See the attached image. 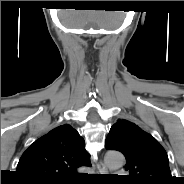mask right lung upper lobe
<instances>
[{
    "mask_svg": "<svg viewBox=\"0 0 184 184\" xmlns=\"http://www.w3.org/2000/svg\"><path fill=\"white\" fill-rule=\"evenodd\" d=\"M91 166L84 139L69 124L58 126L31 144L19 160L16 172L27 182L67 183L76 169Z\"/></svg>",
    "mask_w": 184,
    "mask_h": 184,
    "instance_id": "1",
    "label": "right lung upper lobe"
}]
</instances>
